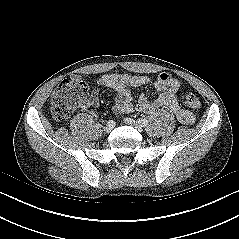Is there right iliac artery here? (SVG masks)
Wrapping results in <instances>:
<instances>
[{"mask_svg":"<svg viewBox=\"0 0 239 239\" xmlns=\"http://www.w3.org/2000/svg\"><path fill=\"white\" fill-rule=\"evenodd\" d=\"M116 123H117L116 120L113 119V118L107 120V124L110 125V126H112V127L115 126Z\"/></svg>","mask_w":239,"mask_h":239,"instance_id":"obj_1","label":"right iliac artery"}]
</instances>
